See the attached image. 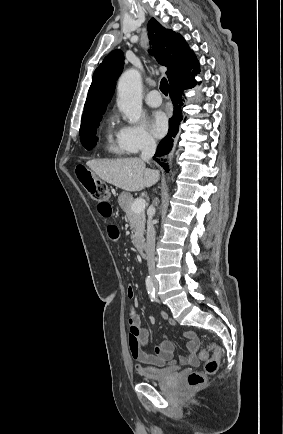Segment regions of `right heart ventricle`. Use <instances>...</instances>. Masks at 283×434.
Returning a JSON list of instances; mask_svg holds the SVG:
<instances>
[{"instance_id": "right-heart-ventricle-1", "label": "right heart ventricle", "mask_w": 283, "mask_h": 434, "mask_svg": "<svg viewBox=\"0 0 283 434\" xmlns=\"http://www.w3.org/2000/svg\"><path fill=\"white\" fill-rule=\"evenodd\" d=\"M106 149L114 154H123L125 152L119 140V131H115L114 123L112 121L109 122L107 127Z\"/></svg>"}]
</instances>
